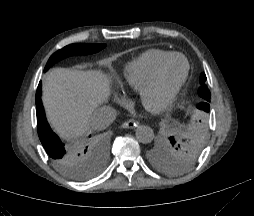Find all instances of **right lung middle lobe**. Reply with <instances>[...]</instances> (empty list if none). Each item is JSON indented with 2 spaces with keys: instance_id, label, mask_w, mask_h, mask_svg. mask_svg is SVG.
<instances>
[{
  "instance_id": "right-lung-middle-lobe-1",
  "label": "right lung middle lobe",
  "mask_w": 254,
  "mask_h": 216,
  "mask_svg": "<svg viewBox=\"0 0 254 216\" xmlns=\"http://www.w3.org/2000/svg\"><path fill=\"white\" fill-rule=\"evenodd\" d=\"M105 44H71L55 52L48 60L45 71L61 59L73 55H88L102 50ZM86 147L90 148L91 163L84 164L79 157L72 161L56 165L57 168L68 177L76 180H86L97 174L103 167L105 161V150L98 145H80L76 147L78 154Z\"/></svg>"
}]
</instances>
